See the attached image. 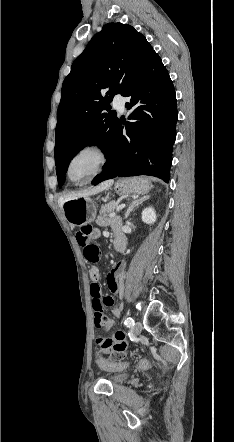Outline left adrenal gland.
<instances>
[{
    "label": "left adrenal gland",
    "instance_id": "a2214340",
    "mask_svg": "<svg viewBox=\"0 0 234 442\" xmlns=\"http://www.w3.org/2000/svg\"><path fill=\"white\" fill-rule=\"evenodd\" d=\"M149 197H150L149 195H146V196H143V197H141V198H139V199L134 200V201L129 205V207H128V209H127V212H126V214H125V219L128 218L130 212H131L135 207H137L138 205L142 204V202H144L145 200H147Z\"/></svg>",
    "mask_w": 234,
    "mask_h": 442
}]
</instances>
